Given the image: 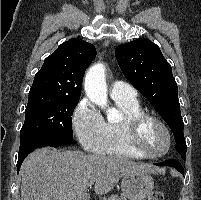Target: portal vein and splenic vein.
<instances>
[{
  "label": "portal vein and splenic vein",
  "instance_id": "1",
  "mask_svg": "<svg viewBox=\"0 0 201 200\" xmlns=\"http://www.w3.org/2000/svg\"><path fill=\"white\" fill-rule=\"evenodd\" d=\"M93 184H94V182H90V183L88 184V187L91 188Z\"/></svg>",
  "mask_w": 201,
  "mask_h": 200
}]
</instances>
